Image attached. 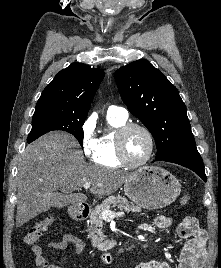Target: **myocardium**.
Here are the masks:
<instances>
[{
	"label": "myocardium",
	"mask_w": 221,
	"mask_h": 268,
	"mask_svg": "<svg viewBox=\"0 0 221 268\" xmlns=\"http://www.w3.org/2000/svg\"><path fill=\"white\" fill-rule=\"evenodd\" d=\"M132 129L142 130L148 137L149 149L146 156L139 162L130 161L125 153V137L127 133ZM115 145L117 158L122 165L130 168H138L145 165L153 156L155 150V138L151 130L143 124L140 123H125L117 131L115 135Z\"/></svg>",
	"instance_id": "1"
}]
</instances>
